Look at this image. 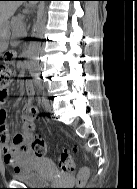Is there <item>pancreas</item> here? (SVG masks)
Returning a JSON list of instances; mask_svg holds the SVG:
<instances>
[{"label":"pancreas","instance_id":"pancreas-1","mask_svg":"<svg viewBox=\"0 0 137 189\" xmlns=\"http://www.w3.org/2000/svg\"><path fill=\"white\" fill-rule=\"evenodd\" d=\"M11 24L14 37H23L26 35L25 23L23 22L22 15L13 17Z\"/></svg>","mask_w":137,"mask_h":189}]
</instances>
